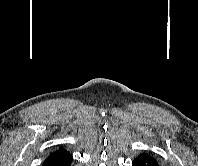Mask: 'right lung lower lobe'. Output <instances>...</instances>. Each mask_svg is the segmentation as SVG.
Masks as SVG:
<instances>
[{
	"label": "right lung lower lobe",
	"mask_w": 198,
	"mask_h": 166,
	"mask_svg": "<svg viewBox=\"0 0 198 166\" xmlns=\"http://www.w3.org/2000/svg\"><path fill=\"white\" fill-rule=\"evenodd\" d=\"M72 155L65 154L57 157L47 158L43 166H71Z\"/></svg>",
	"instance_id": "right-lung-lower-lobe-1"
}]
</instances>
